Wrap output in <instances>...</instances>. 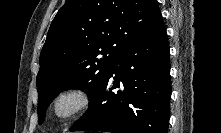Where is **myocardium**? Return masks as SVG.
<instances>
[{"mask_svg":"<svg viewBox=\"0 0 221 133\" xmlns=\"http://www.w3.org/2000/svg\"><path fill=\"white\" fill-rule=\"evenodd\" d=\"M91 106V96L83 87L71 86L60 90L50 104L51 116L59 121L79 116Z\"/></svg>","mask_w":221,"mask_h":133,"instance_id":"1","label":"myocardium"}]
</instances>
